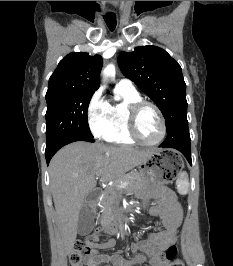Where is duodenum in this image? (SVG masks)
<instances>
[{
    "instance_id": "410a0bca",
    "label": "duodenum",
    "mask_w": 233,
    "mask_h": 266,
    "mask_svg": "<svg viewBox=\"0 0 233 266\" xmlns=\"http://www.w3.org/2000/svg\"><path fill=\"white\" fill-rule=\"evenodd\" d=\"M90 198L93 202H97L98 199L100 198V191L93 190L90 194ZM124 220H125V215L124 213H121L113 223L108 225L107 231L111 233L117 231L122 226Z\"/></svg>"
}]
</instances>
